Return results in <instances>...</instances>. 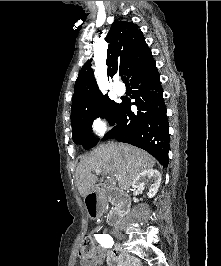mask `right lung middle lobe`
<instances>
[{"mask_svg": "<svg viewBox=\"0 0 221 266\" xmlns=\"http://www.w3.org/2000/svg\"><path fill=\"white\" fill-rule=\"evenodd\" d=\"M120 104L110 100L108 96L101 97L95 106L88 112L71 118L72 137L76 144H81L85 149L94 147L98 139L91 135L92 123L97 117L105 118L113 125Z\"/></svg>", "mask_w": 221, "mask_h": 266, "instance_id": "dd1d6c3e", "label": "right lung middle lobe"}]
</instances>
